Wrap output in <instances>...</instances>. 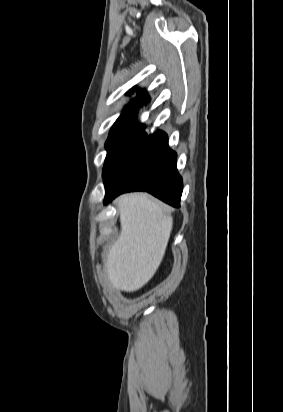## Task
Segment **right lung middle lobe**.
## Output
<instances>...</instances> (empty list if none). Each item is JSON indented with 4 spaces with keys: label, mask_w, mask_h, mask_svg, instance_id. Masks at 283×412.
<instances>
[{
    "label": "right lung middle lobe",
    "mask_w": 283,
    "mask_h": 412,
    "mask_svg": "<svg viewBox=\"0 0 283 412\" xmlns=\"http://www.w3.org/2000/svg\"><path fill=\"white\" fill-rule=\"evenodd\" d=\"M136 117L137 115H122L114 123L105 143L107 156L103 167L104 178L146 135L145 125L138 123Z\"/></svg>",
    "instance_id": "obj_1"
}]
</instances>
